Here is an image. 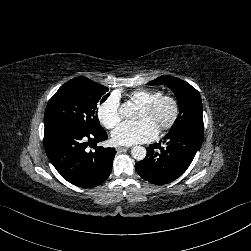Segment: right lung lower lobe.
Here are the masks:
<instances>
[{"mask_svg": "<svg viewBox=\"0 0 251 251\" xmlns=\"http://www.w3.org/2000/svg\"><path fill=\"white\" fill-rule=\"evenodd\" d=\"M44 126L46 154L65 180L79 187L92 188L109 177L116 150L96 146L108 138L102 127L84 130L57 121ZM92 142L95 151L88 152L86 148L93 145Z\"/></svg>", "mask_w": 251, "mask_h": 251, "instance_id": "1", "label": "right lung lower lobe"}]
</instances>
